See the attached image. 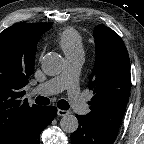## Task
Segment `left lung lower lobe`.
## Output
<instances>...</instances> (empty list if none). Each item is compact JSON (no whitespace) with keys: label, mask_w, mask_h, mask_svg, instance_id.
Returning a JSON list of instances; mask_svg holds the SVG:
<instances>
[{"label":"left lung lower lobe","mask_w":144,"mask_h":144,"mask_svg":"<svg viewBox=\"0 0 144 144\" xmlns=\"http://www.w3.org/2000/svg\"><path fill=\"white\" fill-rule=\"evenodd\" d=\"M78 129L71 134V144H113L117 133L104 130L85 116L77 115Z\"/></svg>","instance_id":"left-lung-lower-lobe-1"}]
</instances>
